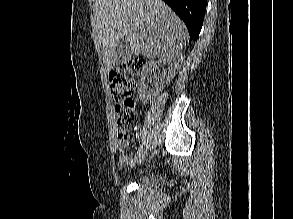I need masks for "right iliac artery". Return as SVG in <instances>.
I'll list each match as a JSON object with an SVG mask.
<instances>
[{
  "label": "right iliac artery",
  "mask_w": 293,
  "mask_h": 219,
  "mask_svg": "<svg viewBox=\"0 0 293 219\" xmlns=\"http://www.w3.org/2000/svg\"><path fill=\"white\" fill-rule=\"evenodd\" d=\"M144 146H145V143L141 144L139 149H138V151H137V153L140 152L143 149Z\"/></svg>",
  "instance_id": "82829eb1"
}]
</instances>
